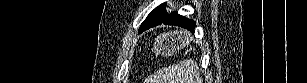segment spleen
I'll return each mask as SVG.
<instances>
[{
	"mask_svg": "<svg viewBox=\"0 0 307 83\" xmlns=\"http://www.w3.org/2000/svg\"><path fill=\"white\" fill-rule=\"evenodd\" d=\"M145 83H203V79L197 62L190 59L159 69Z\"/></svg>",
	"mask_w": 307,
	"mask_h": 83,
	"instance_id": "3e777b00",
	"label": "spleen"
}]
</instances>
